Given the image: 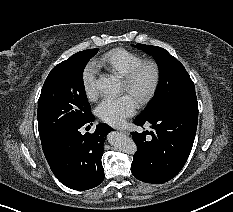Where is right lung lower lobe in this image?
Wrapping results in <instances>:
<instances>
[{
    "instance_id": "obj_1",
    "label": "right lung lower lobe",
    "mask_w": 233,
    "mask_h": 212,
    "mask_svg": "<svg viewBox=\"0 0 233 212\" xmlns=\"http://www.w3.org/2000/svg\"><path fill=\"white\" fill-rule=\"evenodd\" d=\"M94 116L41 141L47 162L58 180L74 190L98 186L104 179L101 158L105 136L113 129L106 123L96 126L93 134H81L80 128L92 125Z\"/></svg>"
}]
</instances>
